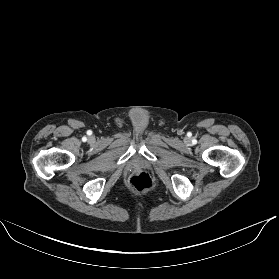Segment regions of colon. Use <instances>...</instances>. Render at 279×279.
<instances>
[{
	"instance_id": "obj_1",
	"label": "colon",
	"mask_w": 279,
	"mask_h": 279,
	"mask_svg": "<svg viewBox=\"0 0 279 279\" xmlns=\"http://www.w3.org/2000/svg\"><path fill=\"white\" fill-rule=\"evenodd\" d=\"M129 185L136 192H146L152 188L153 180L147 173H139L130 177Z\"/></svg>"
}]
</instances>
